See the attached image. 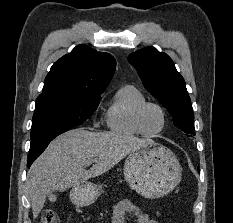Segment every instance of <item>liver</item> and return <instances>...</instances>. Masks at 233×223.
<instances>
[{
  "label": "liver",
  "instance_id": "obj_1",
  "mask_svg": "<svg viewBox=\"0 0 233 223\" xmlns=\"http://www.w3.org/2000/svg\"><path fill=\"white\" fill-rule=\"evenodd\" d=\"M145 141L152 139L115 131H87V127L58 135L35 159L27 173L26 187L34 219L43 209L48 193L56 189L65 191L72 185H80L91 177L106 173ZM95 159L96 163L85 169V165Z\"/></svg>",
  "mask_w": 233,
  "mask_h": 223
}]
</instances>
